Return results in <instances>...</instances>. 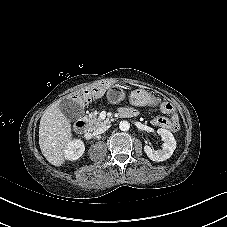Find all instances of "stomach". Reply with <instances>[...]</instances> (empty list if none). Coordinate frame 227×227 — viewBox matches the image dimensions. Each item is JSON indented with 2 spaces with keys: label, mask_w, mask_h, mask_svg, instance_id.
Here are the masks:
<instances>
[{
  "label": "stomach",
  "mask_w": 227,
  "mask_h": 227,
  "mask_svg": "<svg viewBox=\"0 0 227 227\" xmlns=\"http://www.w3.org/2000/svg\"><path fill=\"white\" fill-rule=\"evenodd\" d=\"M108 95L114 103H119L125 98L124 90L118 86L109 88ZM130 102L135 106H153L157 103L156 99L150 93L142 89H136L131 92Z\"/></svg>",
  "instance_id": "obj_1"
}]
</instances>
